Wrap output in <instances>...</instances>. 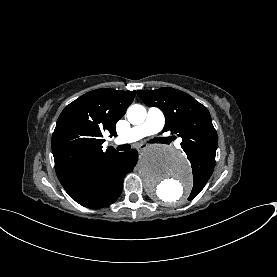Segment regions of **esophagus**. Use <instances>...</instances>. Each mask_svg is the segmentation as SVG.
Wrapping results in <instances>:
<instances>
[{"mask_svg": "<svg viewBox=\"0 0 277 277\" xmlns=\"http://www.w3.org/2000/svg\"><path fill=\"white\" fill-rule=\"evenodd\" d=\"M139 150H142L145 148V145L144 144H139L138 147H137Z\"/></svg>", "mask_w": 277, "mask_h": 277, "instance_id": "obj_1", "label": "esophagus"}]
</instances>
